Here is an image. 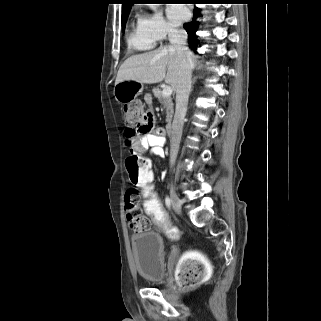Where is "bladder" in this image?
<instances>
[{"instance_id": "1", "label": "bladder", "mask_w": 321, "mask_h": 321, "mask_svg": "<svg viewBox=\"0 0 321 321\" xmlns=\"http://www.w3.org/2000/svg\"><path fill=\"white\" fill-rule=\"evenodd\" d=\"M130 244L137 272L145 280L162 282L165 277V249L162 236L155 231L131 235Z\"/></svg>"}]
</instances>
